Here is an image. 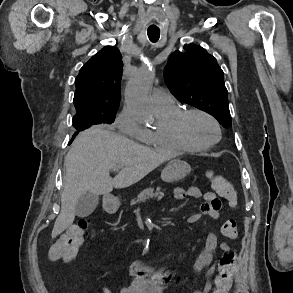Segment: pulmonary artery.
Segmentation results:
<instances>
[{
  "instance_id": "pulmonary-artery-1",
  "label": "pulmonary artery",
  "mask_w": 293,
  "mask_h": 293,
  "mask_svg": "<svg viewBox=\"0 0 293 293\" xmlns=\"http://www.w3.org/2000/svg\"><path fill=\"white\" fill-rule=\"evenodd\" d=\"M152 99L158 109L168 108L176 104V99L172 94L159 88L153 90Z\"/></svg>"
}]
</instances>
